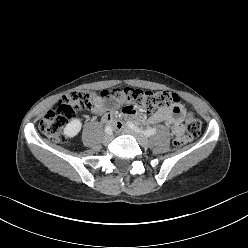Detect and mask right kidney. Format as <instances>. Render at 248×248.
<instances>
[{
	"mask_svg": "<svg viewBox=\"0 0 248 248\" xmlns=\"http://www.w3.org/2000/svg\"><path fill=\"white\" fill-rule=\"evenodd\" d=\"M82 123L80 119L70 121L64 128V135L67 138H73L80 132Z\"/></svg>",
	"mask_w": 248,
	"mask_h": 248,
	"instance_id": "ca27d5eb",
	"label": "right kidney"
}]
</instances>
